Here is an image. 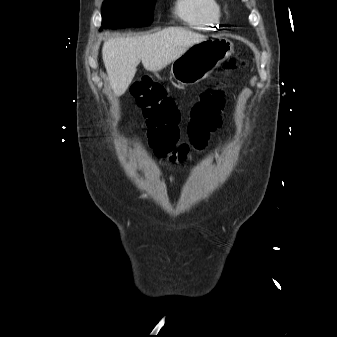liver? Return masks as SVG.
I'll use <instances>...</instances> for the list:
<instances>
[{"instance_id": "obj_1", "label": "liver", "mask_w": 337, "mask_h": 337, "mask_svg": "<svg viewBox=\"0 0 337 337\" xmlns=\"http://www.w3.org/2000/svg\"><path fill=\"white\" fill-rule=\"evenodd\" d=\"M205 39L180 27H169L150 35L107 40L102 57L112 90L117 96L125 93L140 61L146 70L160 71L190 46Z\"/></svg>"}]
</instances>
